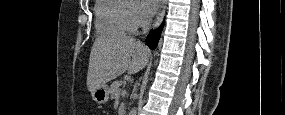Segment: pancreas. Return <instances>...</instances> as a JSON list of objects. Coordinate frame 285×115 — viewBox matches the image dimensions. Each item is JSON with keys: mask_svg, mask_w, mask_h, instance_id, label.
I'll return each mask as SVG.
<instances>
[{"mask_svg": "<svg viewBox=\"0 0 285 115\" xmlns=\"http://www.w3.org/2000/svg\"><path fill=\"white\" fill-rule=\"evenodd\" d=\"M122 83L120 81H114L112 82L109 92L111 94L112 98H117L120 95V86Z\"/></svg>", "mask_w": 285, "mask_h": 115, "instance_id": "obj_1", "label": "pancreas"}]
</instances>
